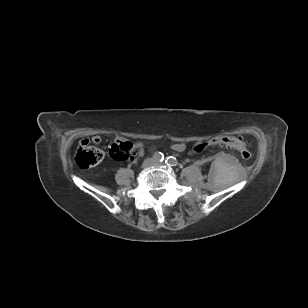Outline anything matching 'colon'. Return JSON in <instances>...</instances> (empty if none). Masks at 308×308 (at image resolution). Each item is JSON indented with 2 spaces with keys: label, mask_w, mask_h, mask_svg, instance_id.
<instances>
[{
  "label": "colon",
  "mask_w": 308,
  "mask_h": 308,
  "mask_svg": "<svg viewBox=\"0 0 308 308\" xmlns=\"http://www.w3.org/2000/svg\"><path fill=\"white\" fill-rule=\"evenodd\" d=\"M141 146L152 147V142L132 140L131 144L117 140L112 146L110 154L111 157L118 162L125 161L133 157V150H139ZM225 146L229 149L236 150L240 153L243 159H250L251 152L247 149L245 143L234 136H218L200 143L195 147V152H201L209 146ZM104 158L103 152L90 145V141L81 140L75 155V161L80 168L87 169L98 165Z\"/></svg>",
  "instance_id": "5ec220e1"
}]
</instances>
